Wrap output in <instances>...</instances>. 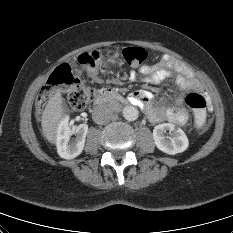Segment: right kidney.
I'll return each instance as SVG.
<instances>
[{
  "instance_id": "ca27d5eb",
  "label": "right kidney",
  "mask_w": 233,
  "mask_h": 233,
  "mask_svg": "<svg viewBox=\"0 0 233 233\" xmlns=\"http://www.w3.org/2000/svg\"><path fill=\"white\" fill-rule=\"evenodd\" d=\"M69 116H65L59 123L57 128V151L60 157L64 159H74L84 149L86 135L88 133V125L80 124L72 129L68 126ZM75 134V139L71 140V136Z\"/></svg>"
}]
</instances>
